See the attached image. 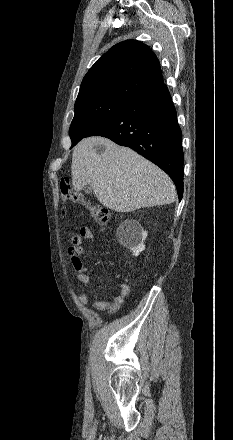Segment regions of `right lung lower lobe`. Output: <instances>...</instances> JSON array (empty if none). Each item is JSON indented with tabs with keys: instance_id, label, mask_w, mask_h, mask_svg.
Wrapping results in <instances>:
<instances>
[{
	"instance_id": "98d812e1",
	"label": "right lung lower lobe",
	"mask_w": 233,
	"mask_h": 440,
	"mask_svg": "<svg viewBox=\"0 0 233 440\" xmlns=\"http://www.w3.org/2000/svg\"><path fill=\"white\" fill-rule=\"evenodd\" d=\"M103 136L127 146L163 169L183 195L182 132L165 84L129 100L104 125L88 136ZM87 136V137H88Z\"/></svg>"
}]
</instances>
